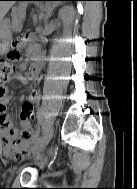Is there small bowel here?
<instances>
[{
    "mask_svg": "<svg viewBox=\"0 0 137 189\" xmlns=\"http://www.w3.org/2000/svg\"><path fill=\"white\" fill-rule=\"evenodd\" d=\"M42 67L41 61L35 62L29 67L27 75L16 74L13 79L25 85L31 80L38 79ZM11 97L12 94L6 86L0 87V140L6 156L19 158L28 151L31 143L34 133L33 107L39 102L40 92L38 89H32L27 100L22 104L19 113L20 129L14 126L7 112V104Z\"/></svg>",
    "mask_w": 137,
    "mask_h": 189,
    "instance_id": "small-bowel-1",
    "label": "small bowel"
}]
</instances>
